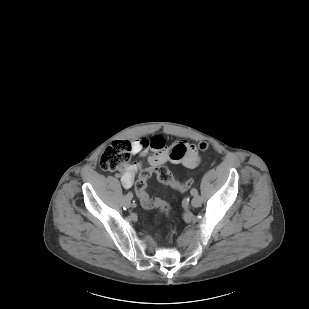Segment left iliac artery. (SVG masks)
Instances as JSON below:
<instances>
[{
  "mask_svg": "<svg viewBox=\"0 0 309 309\" xmlns=\"http://www.w3.org/2000/svg\"><path fill=\"white\" fill-rule=\"evenodd\" d=\"M190 193L195 196L198 194V191L196 189H192Z\"/></svg>",
  "mask_w": 309,
  "mask_h": 309,
  "instance_id": "44dca946",
  "label": "left iliac artery"
}]
</instances>
